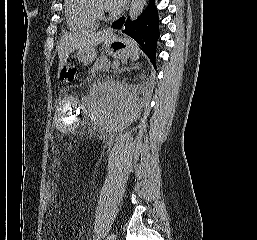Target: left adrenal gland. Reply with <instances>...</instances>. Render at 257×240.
Segmentation results:
<instances>
[{"instance_id":"a2214340","label":"left adrenal gland","mask_w":257,"mask_h":240,"mask_svg":"<svg viewBox=\"0 0 257 240\" xmlns=\"http://www.w3.org/2000/svg\"><path fill=\"white\" fill-rule=\"evenodd\" d=\"M138 67L137 66H135V67H132V69H137ZM128 69H131V68H127V70ZM126 70V68H121V70L120 71H125Z\"/></svg>"}]
</instances>
